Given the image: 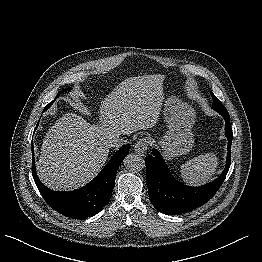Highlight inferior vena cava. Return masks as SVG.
<instances>
[{"label": "inferior vena cava", "mask_w": 262, "mask_h": 262, "mask_svg": "<svg viewBox=\"0 0 262 262\" xmlns=\"http://www.w3.org/2000/svg\"><path fill=\"white\" fill-rule=\"evenodd\" d=\"M125 140L120 139L119 137H112L108 140L107 145L109 148L111 147H119L123 144H125Z\"/></svg>", "instance_id": "602c4592"}]
</instances>
